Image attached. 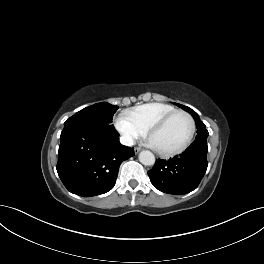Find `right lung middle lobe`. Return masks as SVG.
Instances as JSON below:
<instances>
[{
  "mask_svg": "<svg viewBox=\"0 0 264 264\" xmlns=\"http://www.w3.org/2000/svg\"><path fill=\"white\" fill-rule=\"evenodd\" d=\"M117 109L118 106H113L106 102L94 104L68 118L64 123V127L78 125L113 130L115 128L111 123L113 114Z\"/></svg>",
  "mask_w": 264,
  "mask_h": 264,
  "instance_id": "obj_1",
  "label": "right lung middle lobe"
}]
</instances>
